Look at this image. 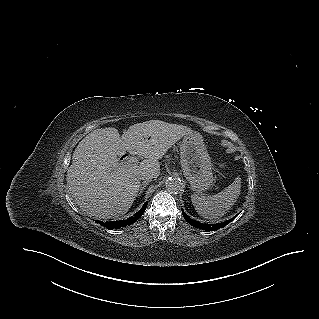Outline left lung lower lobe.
I'll return each instance as SVG.
<instances>
[{"label":"left lung lower lobe","mask_w":319,"mask_h":319,"mask_svg":"<svg viewBox=\"0 0 319 319\" xmlns=\"http://www.w3.org/2000/svg\"><path fill=\"white\" fill-rule=\"evenodd\" d=\"M182 212H183V210H182ZM183 216H184L185 220L193 227H196V228H199L202 230H206V231H214V230H218L220 228H223L233 220V219H231V220L225 221L223 223H219V224H204V223H201V222H198L196 220L191 219L184 212H183ZM237 216H238V214L234 218H236Z\"/></svg>","instance_id":"0a47b994"}]
</instances>
